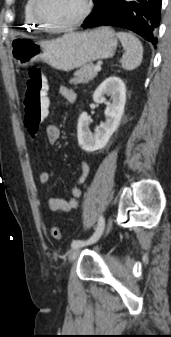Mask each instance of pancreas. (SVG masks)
Returning a JSON list of instances; mask_svg holds the SVG:
<instances>
[{
  "instance_id": "1",
  "label": "pancreas",
  "mask_w": 171,
  "mask_h": 337,
  "mask_svg": "<svg viewBox=\"0 0 171 337\" xmlns=\"http://www.w3.org/2000/svg\"><path fill=\"white\" fill-rule=\"evenodd\" d=\"M94 67L95 65L92 63L82 66L80 69L75 71L74 78L70 80V83L75 85L88 83L97 76V71L94 70Z\"/></svg>"
}]
</instances>
